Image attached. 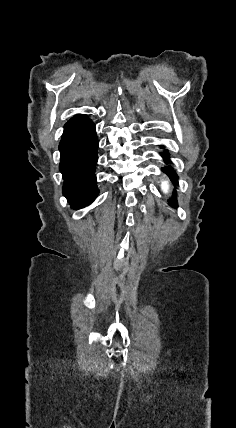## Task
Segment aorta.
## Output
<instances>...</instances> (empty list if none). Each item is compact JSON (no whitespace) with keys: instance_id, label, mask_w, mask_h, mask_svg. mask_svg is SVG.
Wrapping results in <instances>:
<instances>
[{"instance_id":"obj_1","label":"aorta","mask_w":236,"mask_h":428,"mask_svg":"<svg viewBox=\"0 0 236 428\" xmlns=\"http://www.w3.org/2000/svg\"><path fill=\"white\" fill-rule=\"evenodd\" d=\"M161 188H162V190H163V192H168V190H169V183H168V181H163L162 182V184H161Z\"/></svg>"}]
</instances>
